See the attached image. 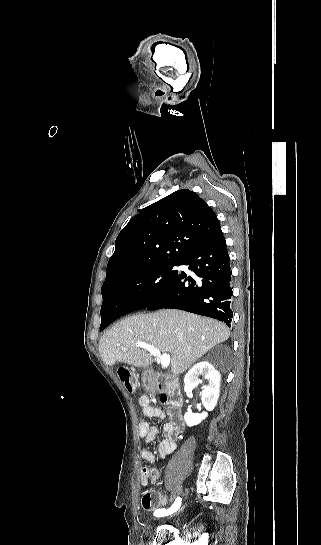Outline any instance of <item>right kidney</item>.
Listing matches in <instances>:
<instances>
[{
	"label": "right kidney",
	"mask_w": 321,
	"mask_h": 545,
	"mask_svg": "<svg viewBox=\"0 0 321 545\" xmlns=\"http://www.w3.org/2000/svg\"><path fill=\"white\" fill-rule=\"evenodd\" d=\"M200 375L208 381L207 387H203L201 401L206 411H213L214 407L217 405L220 393L221 375L219 371L214 370L213 365H210L208 361L197 363V365H194V367L188 371L184 379V391L185 393H192L193 389L198 387L199 383H202L199 379ZM186 403H188V401H186ZM206 417H208V413H192V411H187L184 415V421L188 427H193V425H199Z\"/></svg>",
	"instance_id": "1"
}]
</instances>
